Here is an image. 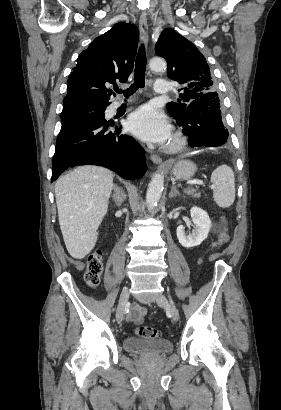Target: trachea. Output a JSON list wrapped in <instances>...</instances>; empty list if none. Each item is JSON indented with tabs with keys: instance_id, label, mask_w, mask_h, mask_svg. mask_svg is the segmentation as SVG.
Listing matches in <instances>:
<instances>
[{
	"instance_id": "3493384b",
	"label": "trachea",
	"mask_w": 281,
	"mask_h": 410,
	"mask_svg": "<svg viewBox=\"0 0 281 410\" xmlns=\"http://www.w3.org/2000/svg\"><path fill=\"white\" fill-rule=\"evenodd\" d=\"M145 71H146V54H145V48L142 45L139 48L137 59H136L134 83L125 91H122L118 87H115L114 90L117 93H123L126 98L134 94L139 88H143L145 86Z\"/></svg>"
}]
</instances>
